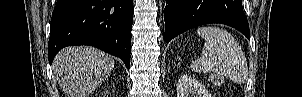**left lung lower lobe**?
I'll list each match as a JSON object with an SVG mask.
<instances>
[{
	"label": "left lung lower lobe",
	"instance_id": "0a47b994",
	"mask_svg": "<svg viewBox=\"0 0 302 97\" xmlns=\"http://www.w3.org/2000/svg\"><path fill=\"white\" fill-rule=\"evenodd\" d=\"M165 41L199 25L221 23L234 27L250 39L242 0H166Z\"/></svg>",
	"mask_w": 302,
	"mask_h": 97
}]
</instances>
